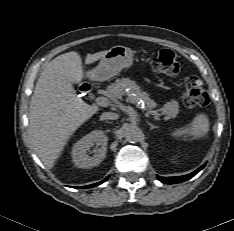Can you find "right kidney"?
Returning <instances> with one entry per match:
<instances>
[{"mask_svg":"<svg viewBox=\"0 0 234 231\" xmlns=\"http://www.w3.org/2000/svg\"><path fill=\"white\" fill-rule=\"evenodd\" d=\"M108 138L101 130L92 131L79 141L72 148V161L79 168H92L99 165L106 156ZM96 144L98 148L96 154L88 155L90 148Z\"/></svg>","mask_w":234,"mask_h":231,"instance_id":"right-kidney-1","label":"right kidney"}]
</instances>
